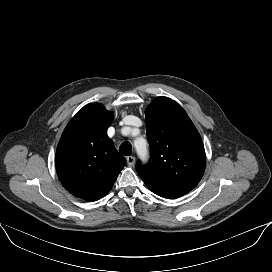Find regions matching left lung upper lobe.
<instances>
[{"label": "left lung upper lobe", "instance_id": "obj_1", "mask_svg": "<svg viewBox=\"0 0 272 272\" xmlns=\"http://www.w3.org/2000/svg\"><path fill=\"white\" fill-rule=\"evenodd\" d=\"M150 162H137L138 175L155 194L176 199L201 180L206 154L194 124L183 108L167 97H158L146 109Z\"/></svg>", "mask_w": 272, "mask_h": 272}]
</instances>
